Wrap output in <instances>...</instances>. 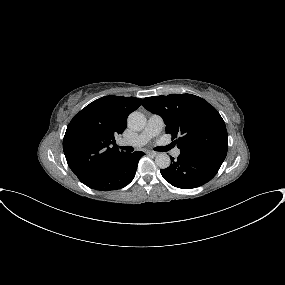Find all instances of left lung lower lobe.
Masks as SVG:
<instances>
[{
    "label": "left lung lower lobe",
    "instance_id": "obj_1",
    "mask_svg": "<svg viewBox=\"0 0 285 285\" xmlns=\"http://www.w3.org/2000/svg\"><path fill=\"white\" fill-rule=\"evenodd\" d=\"M166 169L160 170L163 178L171 185L191 189L210 181L218 172L223 161L192 155L180 154Z\"/></svg>",
    "mask_w": 285,
    "mask_h": 285
}]
</instances>
